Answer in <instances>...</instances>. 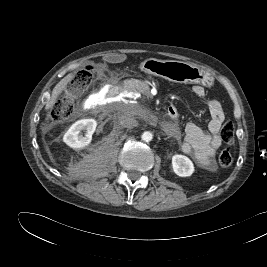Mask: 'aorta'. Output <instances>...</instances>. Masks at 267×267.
Here are the masks:
<instances>
[{"label": "aorta", "mask_w": 267, "mask_h": 267, "mask_svg": "<svg viewBox=\"0 0 267 267\" xmlns=\"http://www.w3.org/2000/svg\"><path fill=\"white\" fill-rule=\"evenodd\" d=\"M141 139L145 142H149L153 139V134L150 131H145L141 135Z\"/></svg>", "instance_id": "aorta-1"}]
</instances>
